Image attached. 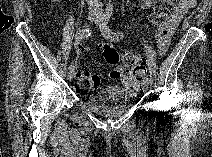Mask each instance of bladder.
<instances>
[{"label": "bladder", "mask_w": 212, "mask_h": 157, "mask_svg": "<svg viewBox=\"0 0 212 157\" xmlns=\"http://www.w3.org/2000/svg\"><path fill=\"white\" fill-rule=\"evenodd\" d=\"M135 92L118 86H107L89 93L85 98L88 109L101 115H115L127 111L134 103Z\"/></svg>", "instance_id": "1"}]
</instances>
